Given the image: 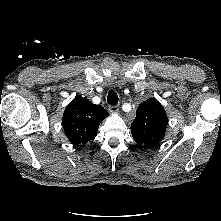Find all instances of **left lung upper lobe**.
Wrapping results in <instances>:
<instances>
[{"instance_id": "5c2ea615", "label": "left lung upper lobe", "mask_w": 221, "mask_h": 221, "mask_svg": "<svg viewBox=\"0 0 221 221\" xmlns=\"http://www.w3.org/2000/svg\"><path fill=\"white\" fill-rule=\"evenodd\" d=\"M167 124L163 106L150 98L137 108L136 118L131 123L133 139L139 146L152 147L164 139Z\"/></svg>"}]
</instances>
